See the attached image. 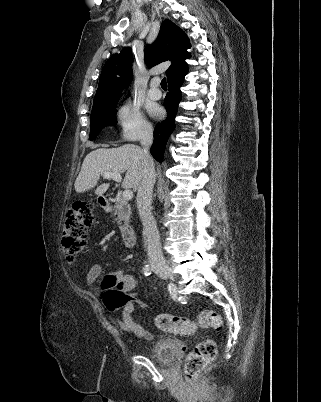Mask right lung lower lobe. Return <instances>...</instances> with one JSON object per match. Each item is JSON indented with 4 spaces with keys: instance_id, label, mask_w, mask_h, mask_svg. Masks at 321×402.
Returning a JSON list of instances; mask_svg holds the SVG:
<instances>
[{
    "instance_id": "obj_1",
    "label": "right lung lower lobe",
    "mask_w": 321,
    "mask_h": 402,
    "mask_svg": "<svg viewBox=\"0 0 321 402\" xmlns=\"http://www.w3.org/2000/svg\"><path fill=\"white\" fill-rule=\"evenodd\" d=\"M187 70L177 74L168 80L169 93L164 99V106L167 111V118L158 123L154 130V144L150 149L152 156L159 162H162L165 146L170 134L175 129V115L178 104L181 100L180 87L184 81Z\"/></svg>"
}]
</instances>
